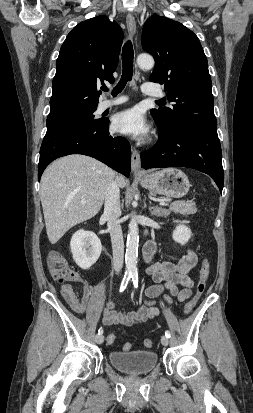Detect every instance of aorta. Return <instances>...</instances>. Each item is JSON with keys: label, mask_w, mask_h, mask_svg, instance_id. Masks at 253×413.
<instances>
[{"label": "aorta", "mask_w": 253, "mask_h": 413, "mask_svg": "<svg viewBox=\"0 0 253 413\" xmlns=\"http://www.w3.org/2000/svg\"><path fill=\"white\" fill-rule=\"evenodd\" d=\"M154 59L151 55L141 54L137 57V65L142 69H151L154 67ZM138 245H139V231L136 218L132 216L129 223V231L127 235L125 263L126 271L133 273L137 270V258H138Z\"/></svg>", "instance_id": "obj_1"}]
</instances>
